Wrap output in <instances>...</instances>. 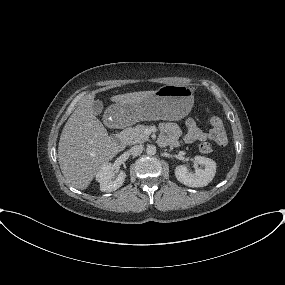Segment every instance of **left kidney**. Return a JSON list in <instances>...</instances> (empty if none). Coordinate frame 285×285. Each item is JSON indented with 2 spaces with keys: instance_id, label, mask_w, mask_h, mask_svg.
I'll return each instance as SVG.
<instances>
[{
  "instance_id": "1",
  "label": "left kidney",
  "mask_w": 285,
  "mask_h": 285,
  "mask_svg": "<svg viewBox=\"0 0 285 285\" xmlns=\"http://www.w3.org/2000/svg\"><path fill=\"white\" fill-rule=\"evenodd\" d=\"M194 160L197 164L203 165L204 169H196L195 173H190L185 166L180 165L175 169V176L179 182L186 186L204 187L213 180L216 173V163L204 156H195Z\"/></svg>"
}]
</instances>
